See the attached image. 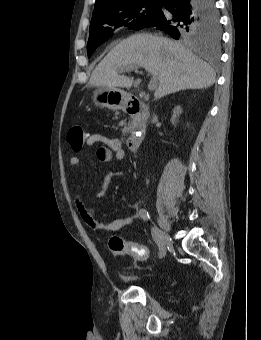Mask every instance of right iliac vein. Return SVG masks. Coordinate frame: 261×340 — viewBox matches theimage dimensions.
I'll use <instances>...</instances> for the list:
<instances>
[{"instance_id": "obj_1", "label": "right iliac vein", "mask_w": 261, "mask_h": 340, "mask_svg": "<svg viewBox=\"0 0 261 340\" xmlns=\"http://www.w3.org/2000/svg\"><path fill=\"white\" fill-rule=\"evenodd\" d=\"M157 219H158L159 226L162 230V238H163L164 242L170 243L171 242V238H170V235H169L170 223H169L166 215L162 211L158 210Z\"/></svg>"}]
</instances>
